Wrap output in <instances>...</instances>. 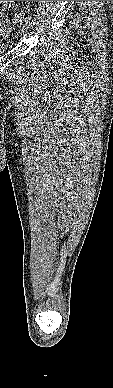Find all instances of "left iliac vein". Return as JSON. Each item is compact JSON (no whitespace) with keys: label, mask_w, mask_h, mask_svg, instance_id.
I'll use <instances>...</instances> for the list:
<instances>
[{"label":"left iliac vein","mask_w":113,"mask_h":388,"mask_svg":"<svg viewBox=\"0 0 113 388\" xmlns=\"http://www.w3.org/2000/svg\"><path fill=\"white\" fill-rule=\"evenodd\" d=\"M29 30H30V24L29 23L24 24L22 26V28H21L22 33H28Z\"/></svg>","instance_id":"obj_1"}]
</instances>
